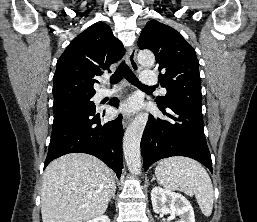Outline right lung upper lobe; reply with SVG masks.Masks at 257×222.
I'll return each instance as SVG.
<instances>
[{
	"label": "right lung upper lobe",
	"instance_id": "1",
	"mask_svg": "<svg viewBox=\"0 0 257 222\" xmlns=\"http://www.w3.org/2000/svg\"><path fill=\"white\" fill-rule=\"evenodd\" d=\"M125 49L105 23H96L67 46L57 61L54 74V102L93 96L94 77L119 61Z\"/></svg>",
	"mask_w": 257,
	"mask_h": 222
}]
</instances>
